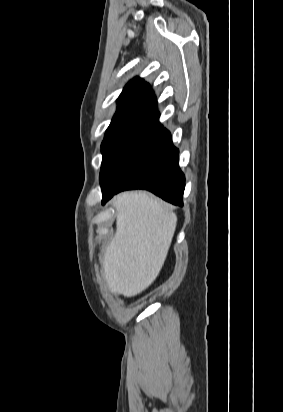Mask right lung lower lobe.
Listing matches in <instances>:
<instances>
[{"label":"right lung lower lobe","instance_id":"98d812e1","mask_svg":"<svg viewBox=\"0 0 283 412\" xmlns=\"http://www.w3.org/2000/svg\"><path fill=\"white\" fill-rule=\"evenodd\" d=\"M171 134L157 121L140 143L101 180L102 204L115 194L146 189L174 205H183L185 177Z\"/></svg>","mask_w":283,"mask_h":412}]
</instances>
